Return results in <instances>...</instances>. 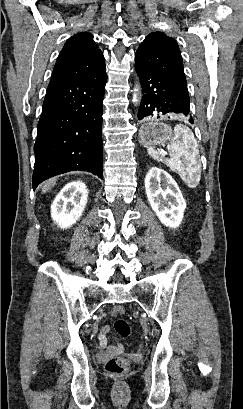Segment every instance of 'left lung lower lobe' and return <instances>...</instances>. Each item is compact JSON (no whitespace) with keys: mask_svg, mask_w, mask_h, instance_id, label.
<instances>
[{"mask_svg":"<svg viewBox=\"0 0 243 409\" xmlns=\"http://www.w3.org/2000/svg\"><path fill=\"white\" fill-rule=\"evenodd\" d=\"M141 79L142 101L138 110V119L148 116H157L168 113L190 115L189 93L187 84H183L161 73L148 71L135 65ZM194 123L193 119H189Z\"/></svg>","mask_w":243,"mask_h":409,"instance_id":"1","label":"left lung lower lobe"}]
</instances>
